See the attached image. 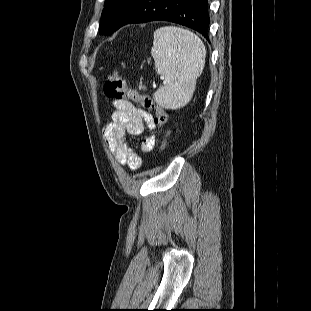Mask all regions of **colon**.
<instances>
[{"instance_id": "5ec220e1", "label": "colon", "mask_w": 311, "mask_h": 311, "mask_svg": "<svg viewBox=\"0 0 311 311\" xmlns=\"http://www.w3.org/2000/svg\"><path fill=\"white\" fill-rule=\"evenodd\" d=\"M104 92L109 98L130 100L140 104L143 110L153 111L155 113L154 121L162 128V134L160 139L156 141V147L159 150L166 147L168 143L167 124L169 116L150 96L140 94L137 90L128 87L117 69H113L109 74L104 85Z\"/></svg>"}]
</instances>
